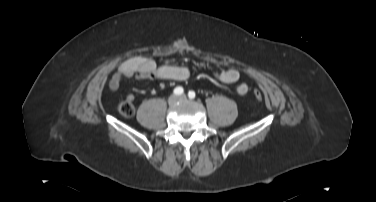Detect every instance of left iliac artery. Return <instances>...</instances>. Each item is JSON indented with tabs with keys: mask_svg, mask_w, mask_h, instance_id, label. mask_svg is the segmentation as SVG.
Returning a JSON list of instances; mask_svg holds the SVG:
<instances>
[{
	"mask_svg": "<svg viewBox=\"0 0 376 202\" xmlns=\"http://www.w3.org/2000/svg\"><path fill=\"white\" fill-rule=\"evenodd\" d=\"M188 97H189L190 99H194V98H195V92H194V91H189V92H188Z\"/></svg>",
	"mask_w": 376,
	"mask_h": 202,
	"instance_id": "1",
	"label": "left iliac artery"
}]
</instances>
